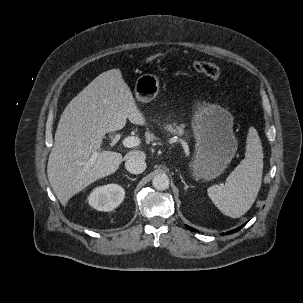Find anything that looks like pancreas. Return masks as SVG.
I'll list each match as a JSON object with an SVG mask.
<instances>
[{"label": "pancreas", "instance_id": "cf45deb5", "mask_svg": "<svg viewBox=\"0 0 303 303\" xmlns=\"http://www.w3.org/2000/svg\"><path fill=\"white\" fill-rule=\"evenodd\" d=\"M185 124L182 123L180 125H176V123L173 124H166L165 129L167 132H169L172 135H178L182 137L185 134Z\"/></svg>", "mask_w": 303, "mask_h": 303}]
</instances>
